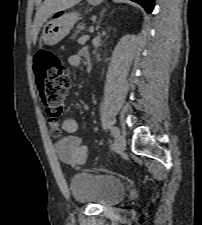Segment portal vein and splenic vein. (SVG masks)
Segmentation results:
<instances>
[{"mask_svg": "<svg viewBox=\"0 0 202 225\" xmlns=\"http://www.w3.org/2000/svg\"><path fill=\"white\" fill-rule=\"evenodd\" d=\"M88 39H89V36H87V35L86 36H82L81 38L78 39V42L82 43V42H85Z\"/></svg>", "mask_w": 202, "mask_h": 225, "instance_id": "portal-vein-and-splenic-vein-1", "label": "portal vein and splenic vein"}]
</instances>
